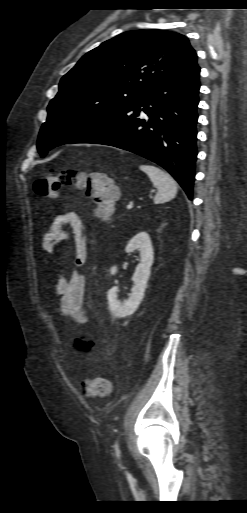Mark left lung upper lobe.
Segmentation results:
<instances>
[{
  "mask_svg": "<svg viewBox=\"0 0 247 513\" xmlns=\"http://www.w3.org/2000/svg\"><path fill=\"white\" fill-rule=\"evenodd\" d=\"M195 56L185 36L165 30L130 31L103 42L62 77L39 133V153L93 131Z\"/></svg>",
  "mask_w": 247,
  "mask_h": 513,
  "instance_id": "left-lung-upper-lobe-1",
  "label": "left lung upper lobe"
}]
</instances>
